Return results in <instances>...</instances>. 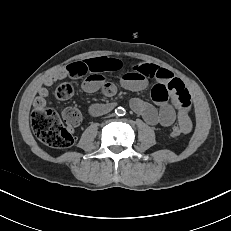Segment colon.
Segmentation results:
<instances>
[{"label":"colon","instance_id":"colon-1","mask_svg":"<svg viewBox=\"0 0 231 231\" xmlns=\"http://www.w3.org/2000/svg\"><path fill=\"white\" fill-rule=\"evenodd\" d=\"M69 77L83 75L81 66L71 63L66 67ZM73 93L71 84L65 82L57 86L55 96L64 100ZM80 112L75 108H66L61 115L46 105L35 106L31 115L32 129L36 137L44 144L58 149L69 148L74 143L72 128L80 123ZM185 133L184 127L176 124L171 129L173 137H179Z\"/></svg>","mask_w":231,"mask_h":231}]
</instances>
